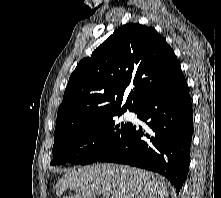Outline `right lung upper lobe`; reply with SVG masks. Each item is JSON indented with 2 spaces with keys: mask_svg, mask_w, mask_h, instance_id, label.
<instances>
[{
  "mask_svg": "<svg viewBox=\"0 0 221 198\" xmlns=\"http://www.w3.org/2000/svg\"><path fill=\"white\" fill-rule=\"evenodd\" d=\"M180 73L174 51L154 28L138 23L122 26L71 74L54 138L127 109L137 111ZM124 96L127 100L121 107Z\"/></svg>",
  "mask_w": 221,
  "mask_h": 198,
  "instance_id": "1",
  "label": "right lung upper lobe"
}]
</instances>
